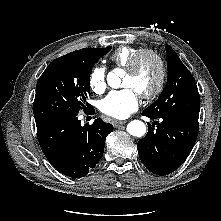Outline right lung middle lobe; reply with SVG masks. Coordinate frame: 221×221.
I'll return each mask as SVG.
<instances>
[{"label":"right lung middle lobe","mask_w":221,"mask_h":221,"mask_svg":"<svg viewBox=\"0 0 221 221\" xmlns=\"http://www.w3.org/2000/svg\"><path fill=\"white\" fill-rule=\"evenodd\" d=\"M111 47L87 48L53 60L39 78L33 103L35 121L77 116L92 106L86 102L95 63Z\"/></svg>","instance_id":"right-lung-middle-lobe-1"}]
</instances>
